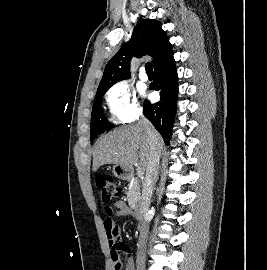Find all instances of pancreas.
<instances>
[{"mask_svg":"<svg viewBox=\"0 0 267 270\" xmlns=\"http://www.w3.org/2000/svg\"><path fill=\"white\" fill-rule=\"evenodd\" d=\"M140 184L137 178L131 179L128 185L127 200L130 205H136L140 200Z\"/></svg>","mask_w":267,"mask_h":270,"instance_id":"cf45deb5","label":"pancreas"}]
</instances>
